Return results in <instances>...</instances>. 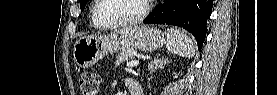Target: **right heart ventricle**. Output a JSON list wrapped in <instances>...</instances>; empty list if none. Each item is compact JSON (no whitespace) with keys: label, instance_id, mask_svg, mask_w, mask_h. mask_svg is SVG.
<instances>
[{"label":"right heart ventricle","instance_id":"1","mask_svg":"<svg viewBox=\"0 0 277 95\" xmlns=\"http://www.w3.org/2000/svg\"><path fill=\"white\" fill-rule=\"evenodd\" d=\"M95 3H96V1H95ZM93 24H94V26H95V27H97V28H99V27H100V25H99V24H97L95 21L93 22Z\"/></svg>","mask_w":277,"mask_h":95}]
</instances>
